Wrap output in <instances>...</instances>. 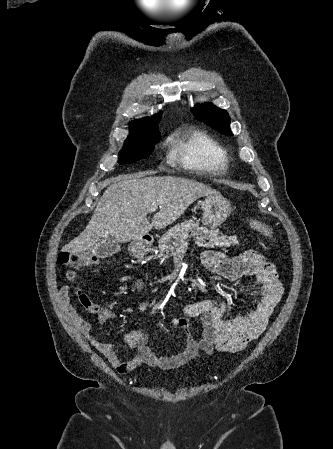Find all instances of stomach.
I'll return each mask as SVG.
<instances>
[{
    "label": "stomach",
    "mask_w": 333,
    "mask_h": 449,
    "mask_svg": "<svg viewBox=\"0 0 333 449\" xmlns=\"http://www.w3.org/2000/svg\"><path fill=\"white\" fill-rule=\"evenodd\" d=\"M204 225L215 228L220 226L231 214L230 202L219 195L207 196L202 202ZM149 247L143 241H138L130 247L133 256H144L149 252Z\"/></svg>",
    "instance_id": "0dacf381"
}]
</instances>
